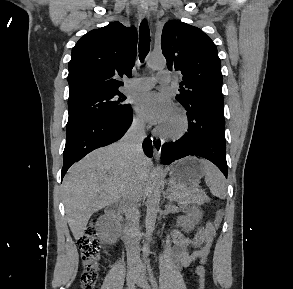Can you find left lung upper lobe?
<instances>
[{
  "label": "left lung upper lobe",
  "mask_w": 293,
  "mask_h": 289,
  "mask_svg": "<svg viewBox=\"0 0 293 289\" xmlns=\"http://www.w3.org/2000/svg\"><path fill=\"white\" fill-rule=\"evenodd\" d=\"M161 46L168 69L183 75L176 95L183 106L204 101L223 107L221 61L209 36L197 27L171 20L163 27Z\"/></svg>",
  "instance_id": "1"
}]
</instances>
